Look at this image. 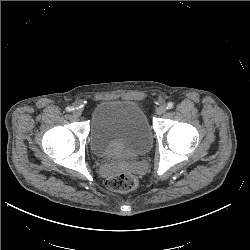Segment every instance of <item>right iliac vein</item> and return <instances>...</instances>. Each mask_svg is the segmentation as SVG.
<instances>
[{
  "label": "right iliac vein",
  "instance_id": "63e3f726",
  "mask_svg": "<svg viewBox=\"0 0 250 250\" xmlns=\"http://www.w3.org/2000/svg\"><path fill=\"white\" fill-rule=\"evenodd\" d=\"M72 114L74 117L78 118L81 116L82 111L80 109H75V110H73Z\"/></svg>",
  "mask_w": 250,
  "mask_h": 250
}]
</instances>
